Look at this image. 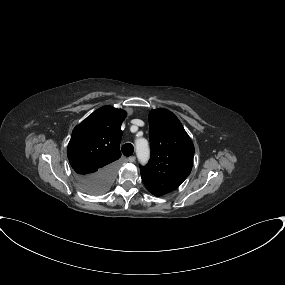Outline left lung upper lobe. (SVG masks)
Returning a JSON list of instances; mask_svg holds the SVG:
<instances>
[{
	"instance_id": "5c2ea615",
	"label": "left lung upper lobe",
	"mask_w": 285,
	"mask_h": 285,
	"mask_svg": "<svg viewBox=\"0 0 285 285\" xmlns=\"http://www.w3.org/2000/svg\"><path fill=\"white\" fill-rule=\"evenodd\" d=\"M151 158L140 166L141 177L150 193L162 196L172 192L191 172L194 145L179 119L167 109L149 114Z\"/></svg>"
}]
</instances>
